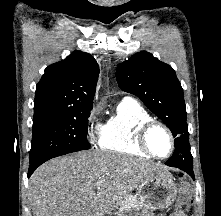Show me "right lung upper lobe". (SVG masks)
Listing matches in <instances>:
<instances>
[{
  "label": "right lung upper lobe",
  "instance_id": "1",
  "mask_svg": "<svg viewBox=\"0 0 221 216\" xmlns=\"http://www.w3.org/2000/svg\"><path fill=\"white\" fill-rule=\"evenodd\" d=\"M98 75L96 60L81 51L48 66L36 86L33 122L92 109Z\"/></svg>",
  "mask_w": 221,
  "mask_h": 216
}]
</instances>
